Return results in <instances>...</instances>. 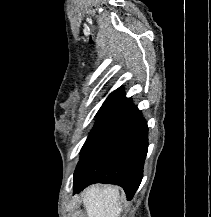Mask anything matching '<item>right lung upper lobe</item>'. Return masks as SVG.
<instances>
[{
    "label": "right lung upper lobe",
    "instance_id": "1",
    "mask_svg": "<svg viewBox=\"0 0 211 217\" xmlns=\"http://www.w3.org/2000/svg\"><path fill=\"white\" fill-rule=\"evenodd\" d=\"M134 107L132 100L125 97L124 90L119 88L112 92L98 111L97 118L117 119Z\"/></svg>",
    "mask_w": 211,
    "mask_h": 217
}]
</instances>
